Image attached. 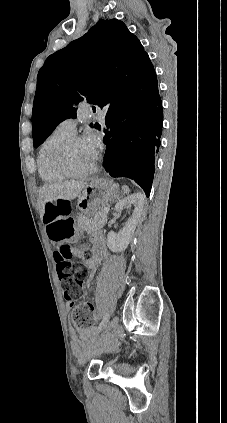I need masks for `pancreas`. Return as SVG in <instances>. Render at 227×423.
Here are the masks:
<instances>
[{
  "mask_svg": "<svg viewBox=\"0 0 227 423\" xmlns=\"http://www.w3.org/2000/svg\"><path fill=\"white\" fill-rule=\"evenodd\" d=\"M92 215H78L77 217V227L83 229V231H94V229H100L102 225H105L107 221V213L104 211V206H99L97 211Z\"/></svg>",
  "mask_w": 227,
  "mask_h": 423,
  "instance_id": "pancreas-1",
  "label": "pancreas"
}]
</instances>
